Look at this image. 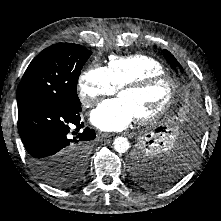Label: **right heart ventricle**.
<instances>
[{"mask_svg":"<svg viewBox=\"0 0 221 221\" xmlns=\"http://www.w3.org/2000/svg\"><path fill=\"white\" fill-rule=\"evenodd\" d=\"M107 71L116 88H120L125 83L146 75L164 73L165 67L161 62L148 55L132 54L110 57Z\"/></svg>","mask_w":221,"mask_h":221,"instance_id":"right-heart-ventricle-1","label":"right heart ventricle"}]
</instances>
